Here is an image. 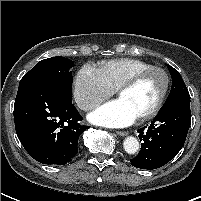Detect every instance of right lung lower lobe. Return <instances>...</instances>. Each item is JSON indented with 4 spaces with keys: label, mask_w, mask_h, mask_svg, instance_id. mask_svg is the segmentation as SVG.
Wrapping results in <instances>:
<instances>
[{
    "label": "right lung lower lobe",
    "mask_w": 201,
    "mask_h": 201,
    "mask_svg": "<svg viewBox=\"0 0 201 201\" xmlns=\"http://www.w3.org/2000/svg\"><path fill=\"white\" fill-rule=\"evenodd\" d=\"M72 95L43 80L19 85L14 104L17 136L28 154L43 164L64 165L78 153L79 136L88 128Z\"/></svg>",
    "instance_id": "obj_1"
}]
</instances>
